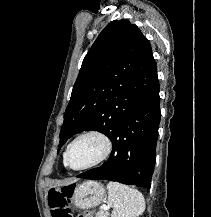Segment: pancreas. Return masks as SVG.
Returning a JSON list of instances; mask_svg holds the SVG:
<instances>
[{"mask_svg":"<svg viewBox=\"0 0 211 217\" xmlns=\"http://www.w3.org/2000/svg\"><path fill=\"white\" fill-rule=\"evenodd\" d=\"M107 212L103 209L99 210L96 214V217H106Z\"/></svg>","mask_w":211,"mask_h":217,"instance_id":"pancreas-1","label":"pancreas"}]
</instances>
